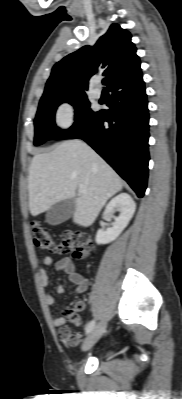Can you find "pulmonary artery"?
I'll return each mask as SVG.
<instances>
[{
	"instance_id": "pulmonary-artery-1",
	"label": "pulmonary artery",
	"mask_w": 182,
	"mask_h": 399,
	"mask_svg": "<svg viewBox=\"0 0 182 399\" xmlns=\"http://www.w3.org/2000/svg\"><path fill=\"white\" fill-rule=\"evenodd\" d=\"M94 95L96 98H100L102 95V90L99 86H96V88L94 89Z\"/></svg>"
}]
</instances>
